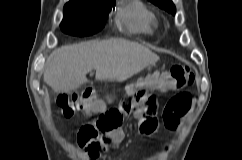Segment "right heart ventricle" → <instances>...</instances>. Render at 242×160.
Wrapping results in <instances>:
<instances>
[{
	"instance_id": "right-heart-ventricle-1",
	"label": "right heart ventricle",
	"mask_w": 242,
	"mask_h": 160,
	"mask_svg": "<svg viewBox=\"0 0 242 160\" xmlns=\"http://www.w3.org/2000/svg\"><path fill=\"white\" fill-rule=\"evenodd\" d=\"M117 23L132 33L153 35L158 18L141 0H125L118 7Z\"/></svg>"
}]
</instances>
